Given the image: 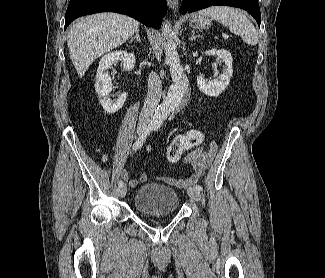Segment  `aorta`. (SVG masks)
Segmentation results:
<instances>
[{
    "label": "aorta",
    "instance_id": "aorta-1",
    "mask_svg": "<svg viewBox=\"0 0 325 278\" xmlns=\"http://www.w3.org/2000/svg\"><path fill=\"white\" fill-rule=\"evenodd\" d=\"M162 34L166 39L165 56L170 66L172 84L164 101L155 111L153 119L158 123H162L170 112L180 107L189 86L187 76L180 63L176 45L171 40L173 32L169 22L162 25Z\"/></svg>",
    "mask_w": 325,
    "mask_h": 278
}]
</instances>
